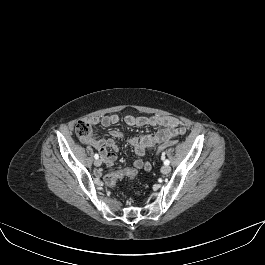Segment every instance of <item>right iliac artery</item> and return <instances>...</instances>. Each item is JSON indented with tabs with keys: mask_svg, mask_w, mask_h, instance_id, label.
Returning a JSON list of instances; mask_svg holds the SVG:
<instances>
[{
	"mask_svg": "<svg viewBox=\"0 0 265 265\" xmlns=\"http://www.w3.org/2000/svg\"><path fill=\"white\" fill-rule=\"evenodd\" d=\"M94 158H95V159H98V158H99V155H98V154H95V155H94Z\"/></svg>",
	"mask_w": 265,
	"mask_h": 265,
	"instance_id": "1",
	"label": "right iliac artery"
}]
</instances>
